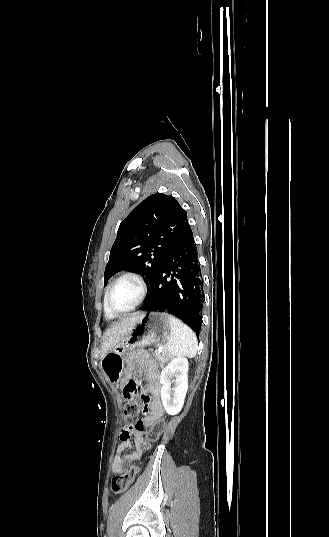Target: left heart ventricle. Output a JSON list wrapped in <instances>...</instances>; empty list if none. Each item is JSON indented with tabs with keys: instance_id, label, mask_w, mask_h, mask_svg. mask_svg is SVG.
<instances>
[{
	"instance_id": "b2bd125f",
	"label": "left heart ventricle",
	"mask_w": 329,
	"mask_h": 537,
	"mask_svg": "<svg viewBox=\"0 0 329 537\" xmlns=\"http://www.w3.org/2000/svg\"><path fill=\"white\" fill-rule=\"evenodd\" d=\"M141 289L134 279L120 281L111 293V305L116 311H125L131 308L139 299Z\"/></svg>"
}]
</instances>
